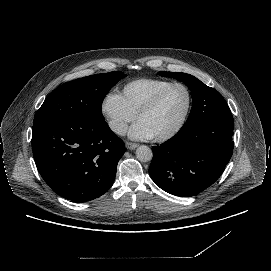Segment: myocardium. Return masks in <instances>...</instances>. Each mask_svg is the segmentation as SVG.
<instances>
[{"label": "myocardium", "instance_id": "myocardium-1", "mask_svg": "<svg viewBox=\"0 0 271 271\" xmlns=\"http://www.w3.org/2000/svg\"><path fill=\"white\" fill-rule=\"evenodd\" d=\"M176 86H182L186 89L187 93H188V97H189V102H188V107L187 110L185 112L184 117L182 118V120L180 121V123L169 133L159 136V137H152V139L155 142L158 143H163V142H167L172 140L173 138H175L185 127V125L187 124L193 107H194V93L191 89L190 86H188L186 83L184 82H179V81H174L171 82L169 85H167L166 87H164L163 89H161L153 98L152 100L146 104L141 110L140 112L137 114V120H140L142 117L146 116L147 114L151 113L152 111H154L158 105L160 104V102L162 101V99L164 98V96L173 88Z\"/></svg>", "mask_w": 271, "mask_h": 271}]
</instances>
